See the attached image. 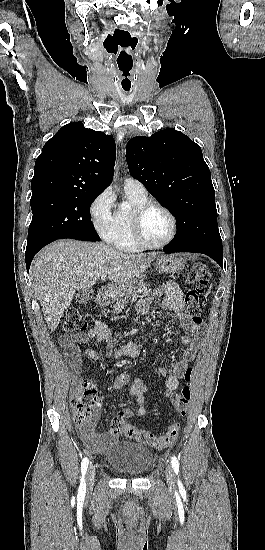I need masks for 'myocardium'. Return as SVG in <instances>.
Instances as JSON below:
<instances>
[{
    "instance_id": "f54148a6",
    "label": "myocardium",
    "mask_w": 265,
    "mask_h": 550,
    "mask_svg": "<svg viewBox=\"0 0 265 550\" xmlns=\"http://www.w3.org/2000/svg\"><path fill=\"white\" fill-rule=\"evenodd\" d=\"M151 209H160L167 214L171 222V231L168 238L161 243H150L148 242L142 231V222L146 213ZM132 235L134 241L140 248L144 249H160L169 245L175 238L177 234V220L172 211L166 206L153 201H147L133 210L132 220H131Z\"/></svg>"
}]
</instances>
